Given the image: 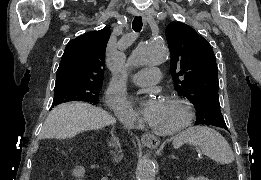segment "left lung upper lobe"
<instances>
[{
	"label": "left lung upper lobe",
	"instance_id": "left-lung-upper-lobe-1",
	"mask_svg": "<svg viewBox=\"0 0 261 180\" xmlns=\"http://www.w3.org/2000/svg\"><path fill=\"white\" fill-rule=\"evenodd\" d=\"M165 33L174 88L194 105L196 124L226 126L220 111L217 65L210 44L192 27L180 22L170 23Z\"/></svg>",
	"mask_w": 261,
	"mask_h": 180
}]
</instances>
